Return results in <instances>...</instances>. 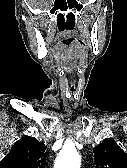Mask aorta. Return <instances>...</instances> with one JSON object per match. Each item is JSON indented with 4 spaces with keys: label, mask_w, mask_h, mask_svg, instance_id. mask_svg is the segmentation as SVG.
I'll use <instances>...</instances> for the list:
<instances>
[{
    "label": "aorta",
    "mask_w": 127,
    "mask_h": 168,
    "mask_svg": "<svg viewBox=\"0 0 127 168\" xmlns=\"http://www.w3.org/2000/svg\"><path fill=\"white\" fill-rule=\"evenodd\" d=\"M54 168H80V155L73 145L66 146L60 151Z\"/></svg>",
    "instance_id": "1"
}]
</instances>
